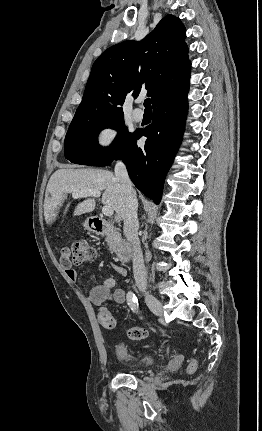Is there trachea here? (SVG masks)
Instances as JSON below:
<instances>
[{
  "mask_svg": "<svg viewBox=\"0 0 262 431\" xmlns=\"http://www.w3.org/2000/svg\"><path fill=\"white\" fill-rule=\"evenodd\" d=\"M144 107H145V110H151L152 109L151 103H150V98H147L144 100Z\"/></svg>",
  "mask_w": 262,
  "mask_h": 431,
  "instance_id": "1",
  "label": "trachea"
}]
</instances>
